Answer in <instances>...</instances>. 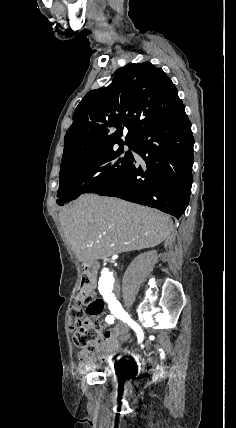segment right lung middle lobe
Masks as SVG:
<instances>
[{
    "label": "right lung middle lobe",
    "mask_w": 236,
    "mask_h": 428,
    "mask_svg": "<svg viewBox=\"0 0 236 428\" xmlns=\"http://www.w3.org/2000/svg\"><path fill=\"white\" fill-rule=\"evenodd\" d=\"M119 145L115 152L113 146ZM101 152L84 157L59 173V189L56 200L58 205L74 200L84 193H95L110 184L124 169L133 162L130 151L116 160L124 152V144L133 150V141L117 142Z\"/></svg>",
    "instance_id": "1"
}]
</instances>
